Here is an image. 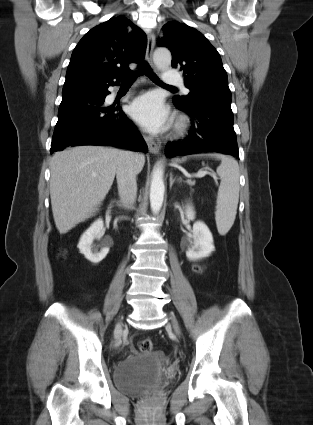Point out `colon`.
<instances>
[{
  "mask_svg": "<svg viewBox=\"0 0 313 425\" xmlns=\"http://www.w3.org/2000/svg\"><path fill=\"white\" fill-rule=\"evenodd\" d=\"M194 272L200 273L201 268L200 267H194ZM153 348H154V346H153V343L150 339H141L138 342V349L142 353L151 352L153 350Z\"/></svg>",
  "mask_w": 313,
  "mask_h": 425,
  "instance_id": "colon-1",
  "label": "colon"
}]
</instances>
